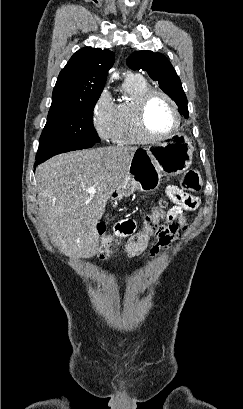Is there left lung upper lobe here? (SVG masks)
I'll return each instance as SVG.
<instances>
[{
    "label": "left lung upper lobe",
    "mask_w": 243,
    "mask_h": 409,
    "mask_svg": "<svg viewBox=\"0 0 243 409\" xmlns=\"http://www.w3.org/2000/svg\"><path fill=\"white\" fill-rule=\"evenodd\" d=\"M127 65L133 70H146L152 79L158 81L163 91L176 102L181 114L188 118L187 98L180 78L163 54L149 50L136 51L127 59Z\"/></svg>",
    "instance_id": "left-lung-upper-lobe-1"
}]
</instances>
